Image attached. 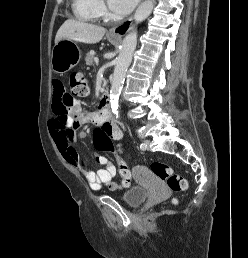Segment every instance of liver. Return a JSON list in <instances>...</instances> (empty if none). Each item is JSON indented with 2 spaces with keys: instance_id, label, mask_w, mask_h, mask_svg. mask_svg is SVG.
Returning a JSON list of instances; mask_svg holds the SVG:
<instances>
[{
  "instance_id": "liver-1",
  "label": "liver",
  "mask_w": 248,
  "mask_h": 258,
  "mask_svg": "<svg viewBox=\"0 0 248 258\" xmlns=\"http://www.w3.org/2000/svg\"><path fill=\"white\" fill-rule=\"evenodd\" d=\"M105 33L106 29L103 27L68 19L59 28L55 37V44L62 39L95 44L103 38Z\"/></svg>"
}]
</instances>
